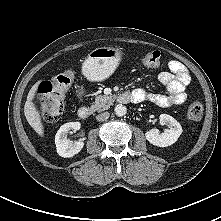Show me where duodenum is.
<instances>
[{"label": "duodenum", "instance_id": "obj_1", "mask_svg": "<svg viewBox=\"0 0 221 221\" xmlns=\"http://www.w3.org/2000/svg\"><path fill=\"white\" fill-rule=\"evenodd\" d=\"M117 101L121 104H127L128 102L132 101V97L130 96L129 93H121ZM91 108L87 106H82L78 109V116L81 120H88L91 116Z\"/></svg>", "mask_w": 221, "mask_h": 221}]
</instances>
